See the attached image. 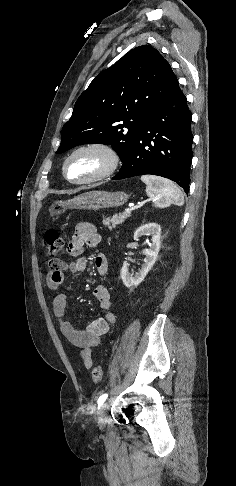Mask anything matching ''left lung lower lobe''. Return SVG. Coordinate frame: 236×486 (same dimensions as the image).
Masks as SVG:
<instances>
[{"instance_id": "1", "label": "left lung lower lobe", "mask_w": 236, "mask_h": 486, "mask_svg": "<svg viewBox=\"0 0 236 486\" xmlns=\"http://www.w3.org/2000/svg\"><path fill=\"white\" fill-rule=\"evenodd\" d=\"M186 96L176 84L148 118L113 180L153 174L189 190L193 135Z\"/></svg>"}]
</instances>
